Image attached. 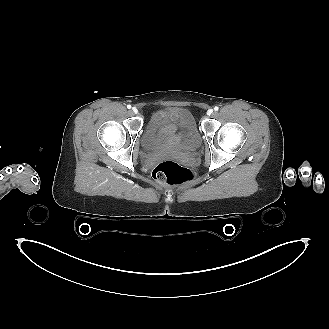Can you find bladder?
<instances>
[{
  "instance_id": "31cf9c89",
  "label": "bladder",
  "mask_w": 329,
  "mask_h": 329,
  "mask_svg": "<svg viewBox=\"0 0 329 329\" xmlns=\"http://www.w3.org/2000/svg\"><path fill=\"white\" fill-rule=\"evenodd\" d=\"M175 130L178 135L172 137ZM142 147L149 155L167 151L194 153L200 145L192 112L184 107H163L154 111L142 135Z\"/></svg>"
}]
</instances>
